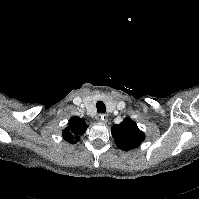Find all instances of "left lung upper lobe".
<instances>
[{
  "label": "left lung upper lobe",
  "mask_w": 199,
  "mask_h": 199,
  "mask_svg": "<svg viewBox=\"0 0 199 199\" xmlns=\"http://www.w3.org/2000/svg\"><path fill=\"white\" fill-rule=\"evenodd\" d=\"M112 136L116 140L117 147L124 151L138 147L145 139L144 133L129 117L125 118L120 124L113 125Z\"/></svg>",
  "instance_id": "5c2ea615"
}]
</instances>
